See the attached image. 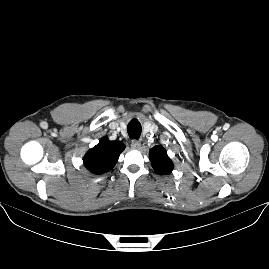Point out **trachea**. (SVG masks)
I'll return each instance as SVG.
<instances>
[{"label":"trachea","instance_id":"trachea-1","mask_svg":"<svg viewBox=\"0 0 269 269\" xmlns=\"http://www.w3.org/2000/svg\"><path fill=\"white\" fill-rule=\"evenodd\" d=\"M127 131L131 139H138L141 135V124L137 119H132L127 126Z\"/></svg>","mask_w":269,"mask_h":269}]
</instances>
